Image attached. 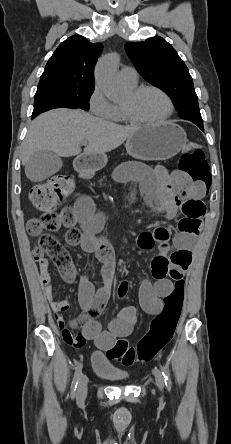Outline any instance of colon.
Instances as JSON below:
<instances>
[{"label":"colon","mask_w":231,"mask_h":444,"mask_svg":"<svg viewBox=\"0 0 231 444\" xmlns=\"http://www.w3.org/2000/svg\"><path fill=\"white\" fill-rule=\"evenodd\" d=\"M178 174L191 182L210 184L209 164L199 143L191 141L187 144L179 161ZM73 186L72 180L66 176H57L33 186L29 198L41 213L31 217L26 226L30 235L39 236L36 251L45 253L66 278L73 274L70 255L55 237L45 231H56L71 222V210L59 212L58 209L61 199L71 193ZM183 213L184 217L179 222L180 231L196 235L205 213V205L195 201L185 202ZM158 232L168 234L163 228ZM183 298L184 281L176 280L173 291L164 299L163 311L151 322L149 331L136 344L120 338L107 350L108 358L124 366L151 361L172 339L180 319Z\"/></svg>","instance_id":"1"}]
</instances>
